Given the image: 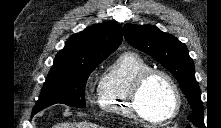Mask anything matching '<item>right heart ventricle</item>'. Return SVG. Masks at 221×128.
Instances as JSON below:
<instances>
[{
  "instance_id": "obj_1",
  "label": "right heart ventricle",
  "mask_w": 221,
  "mask_h": 128,
  "mask_svg": "<svg viewBox=\"0 0 221 128\" xmlns=\"http://www.w3.org/2000/svg\"><path fill=\"white\" fill-rule=\"evenodd\" d=\"M151 69L150 64L138 53L120 54L105 70L99 87L98 103L108 114L132 118L128 96L135 79Z\"/></svg>"
}]
</instances>
